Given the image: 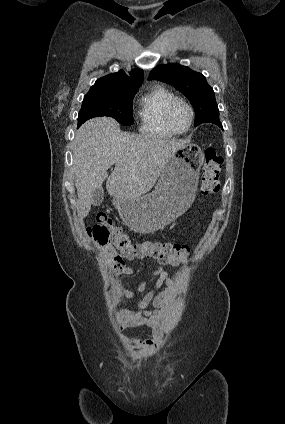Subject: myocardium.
Wrapping results in <instances>:
<instances>
[{
	"mask_svg": "<svg viewBox=\"0 0 285 424\" xmlns=\"http://www.w3.org/2000/svg\"><path fill=\"white\" fill-rule=\"evenodd\" d=\"M177 104H183L184 106H186L189 113H190V123H189V126L187 127V129L184 130V131L177 130L171 122V112ZM194 119H195V111H194L192 105L187 100H185L183 98H179V97L175 98L174 100H172L169 103V105L167 106V108L165 110V123H166L167 127L170 129V131L174 134H177V135H183V134L188 133L191 130L193 124H194Z\"/></svg>",
	"mask_w": 285,
	"mask_h": 424,
	"instance_id": "obj_1",
	"label": "myocardium"
}]
</instances>
